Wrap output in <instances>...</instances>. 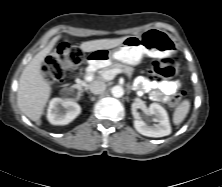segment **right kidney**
<instances>
[{"mask_svg":"<svg viewBox=\"0 0 222 187\" xmlns=\"http://www.w3.org/2000/svg\"><path fill=\"white\" fill-rule=\"evenodd\" d=\"M81 112V107L73 100L54 98L50 101L47 119L53 125H66Z\"/></svg>","mask_w":222,"mask_h":187,"instance_id":"ca27d5eb","label":"right kidney"}]
</instances>
